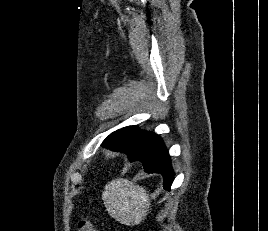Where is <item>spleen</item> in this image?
Returning <instances> with one entry per match:
<instances>
[{
    "label": "spleen",
    "instance_id": "3e777b00",
    "mask_svg": "<svg viewBox=\"0 0 268 231\" xmlns=\"http://www.w3.org/2000/svg\"><path fill=\"white\" fill-rule=\"evenodd\" d=\"M102 199L109 215L121 224L137 225L147 216L149 194L127 179L112 180L105 186Z\"/></svg>",
    "mask_w": 268,
    "mask_h": 231
}]
</instances>
